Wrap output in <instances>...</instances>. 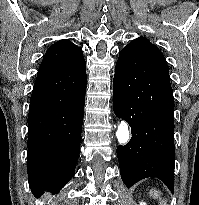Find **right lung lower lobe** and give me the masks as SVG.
Segmentation results:
<instances>
[{
    "label": "right lung lower lobe",
    "instance_id": "98d812e1",
    "mask_svg": "<svg viewBox=\"0 0 199 205\" xmlns=\"http://www.w3.org/2000/svg\"><path fill=\"white\" fill-rule=\"evenodd\" d=\"M86 71L58 90L35 81L28 115V182L34 196L59 192L73 177L80 152Z\"/></svg>",
    "mask_w": 199,
    "mask_h": 205
}]
</instances>
